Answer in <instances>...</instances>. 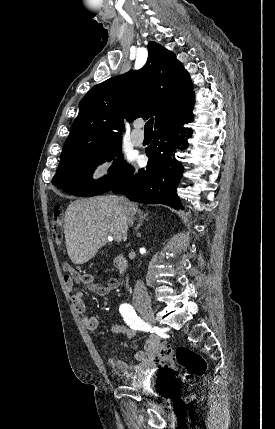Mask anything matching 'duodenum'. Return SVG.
<instances>
[{"label": "duodenum", "instance_id": "1", "mask_svg": "<svg viewBox=\"0 0 275 429\" xmlns=\"http://www.w3.org/2000/svg\"><path fill=\"white\" fill-rule=\"evenodd\" d=\"M115 267L121 275H124L127 269V262L123 256H117L115 258Z\"/></svg>", "mask_w": 275, "mask_h": 429}]
</instances>
